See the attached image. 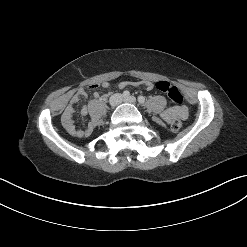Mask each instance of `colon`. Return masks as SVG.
<instances>
[{
  "label": "colon",
  "instance_id": "obj_1",
  "mask_svg": "<svg viewBox=\"0 0 247 247\" xmlns=\"http://www.w3.org/2000/svg\"><path fill=\"white\" fill-rule=\"evenodd\" d=\"M155 86L160 92L166 94L172 102L178 105L182 104L183 96L180 90L176 86H174L168 81H163V80L158 81L155 84ZM181 127H182V123L178 119L174 120L171 124V128L174 131H179Z\"/></svg>",
  "mask_w": 247,
  "mask_h": 247
}]
</instances>
